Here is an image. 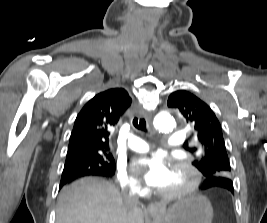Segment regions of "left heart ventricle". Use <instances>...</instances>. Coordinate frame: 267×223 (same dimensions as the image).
<instances>
[{"label": "left heart ventricle", "mask_w": 267, "mask_h": 223, "mask_svg": "<svg viewBox=\"0 0 267 223\" xmlns=\"http://www.w3.org/2000/svg\"><path fill=\"white\" fill-rule=\"evenodd\" d=\"M189 182L186 173H171L169 180L160 188L162 191H170L184 187Z\"/></svg>", "instance_id": "obj_1"}]
</instances>
